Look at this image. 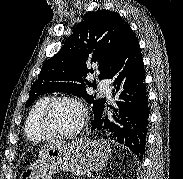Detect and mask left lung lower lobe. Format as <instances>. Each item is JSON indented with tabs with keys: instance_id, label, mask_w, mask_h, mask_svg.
Listing matches in <instances>:
<instances>
[{
	"instance_id": "obj_1",
	"label": "left lung lower lobe",
	"mask_w": 183,
	"mask_h": 179,
	"mask_svg": "<svg viewBox=\"0 0 183 179\" xmlns=\"http://www.w3.org/2000/svg\"><path fill=\"white\" fill-rule=\"evenodd\" d=\"M110 79L114 81L113 95L117 94L119 98L118 109L112 117L104 116V109L95 117L94 136L127 146L141 160L146 145L149 107L143 57L132 30L127 32Z\"/></svg>"
}]
</instances>
